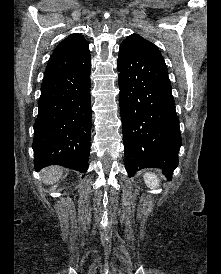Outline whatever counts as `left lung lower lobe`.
<instances>
[{
	"mask_svg": "<svg viewBox=\"0 0 221 274\" xmlns=\"http://www.w3.org/2000/svg\"><path fill=\"white\" fill-rule=\"evenodd\" d=\"M117 69L127 173L160 168L171 179L181 134L167 66L121 44Z\"/></svg>",
	"mask_w": 221,
	"mask_h": 274,
	"instance_id": "left-lung-lower-lobe-1",
	"label": "left lung lower lobe"
}]
</instances>
